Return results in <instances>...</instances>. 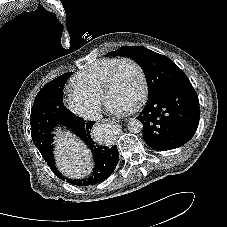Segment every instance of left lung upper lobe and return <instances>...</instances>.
<instances>
[{
  "mask_svg": "<svg viewBox=\"0 0 227 227\" xmlns=\"http://www.w3.org/2000/svg\"><path fill=\"white\" fill-rule=\"evenodd\" d=\"M107 56L129 57L143 69L148 82V96L189 82L184 72L168 57L139 46H123Z\"/></svg>",
  "mask_w": 227,
  "mask_h": 227,
  "instance_id": "left-lung-upper-lobe-1",
  "label": "left lung upper lobe"
}]
</instances>
